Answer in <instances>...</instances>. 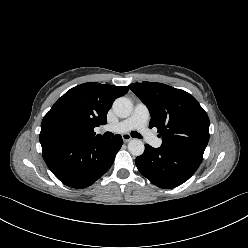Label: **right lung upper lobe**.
<instances>
[{
  "mask_svg": "<svg viewBox=\"0 0 248 248\" xmlns=\"http://www.w3.org/2000/svg\"><path fill=\"white\" fill-rule=\"evenodd\" d=\"M128 89L89 82L68 90L44 116L40 143L102 138L95 135L94 128L106 124L113 101Z\"/></svg>",
  "mask_w": 248,
  "mask_h": 248,
  "instance_id": "cb5924a9",
  "label": "right lung upper lobe"
}]
</instances>
